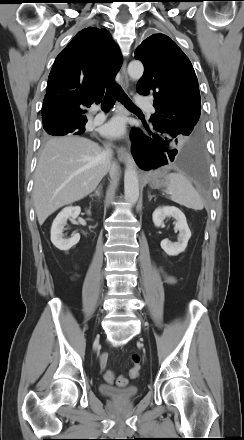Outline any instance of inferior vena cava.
I'll list each match as a JSON object with an SVG mask.
<instances>
[{
	"label": "inferior vena cava",
	"mask_w": 244,
	"mask_h": 440,
	"mask_svg": "<svg viewBox=\"0 0 244 440\" xmlns=\"http://www.w3.org/2000/svg\"><path fill=\"white\" fill-rule=\"evenodd\" d=\"M112 154L113 152L110 148V145H107L105 150L103 151V157L108 167H110L111 165Z\"/></svg>",
	"instance_id": "inferior-vena-cava-1"
}]
</instances>
